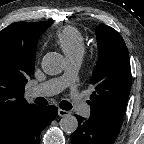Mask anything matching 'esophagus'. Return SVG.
<instances>
[{
  "instance_id": "1",
  "label": "esophagus",
  "mask_w": 144,
  "mask_h": 144,
  "mask_svg": "<svg viewBox=\"0 0 144 144\" xmlns=\"http://www.w3.org/2000/svg\"><path fill=\"white\" fill-rule=\"evenodd\" d=\"M69 114L68 111L63 110V109H58V115L61 117L67 116Z\"/></svg>"
}]
</instances>
